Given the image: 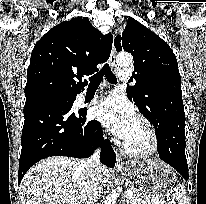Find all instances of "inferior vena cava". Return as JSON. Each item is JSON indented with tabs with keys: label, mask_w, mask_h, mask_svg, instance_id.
<instances>
[{
	"label": "inferior vena cava",
	"mask_w": 206,
	"mask_h": 204,
	"mask_svg": "<svg viewBox=\"0 0 206 204\" xmlns=\"http://www.w3.org/2000/svg\"><path fill=\"white\" fill-rule=\"evenodd\" d=\"M101 149L95 150L94 154L85 160L88 171L87 192L84 199V204H98L102 191V171L103 166L100 162Z\"/></svg>",
	"instance_id": "obj_1"
}]
</instances>
